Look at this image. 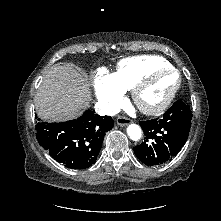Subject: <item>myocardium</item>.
<instances>
[{"mask_svg":"<svg viewBox=\"0 0 221 221\" xmlns=\"http://www.w3.org/2000/svg\"><path fill=\"white\" fill-rule=\"evenodd\" d=\"M166 74H174L176 76V83L169 92V94L156 105H146L141 101V95L150 85H152L158 78ZM181 87V75L173 67H165L156 69L145 77H143L136 86L132 89V99L137 108L147 115H156L166 110L172 101L175 99Z\"/></svg>","mask_w":221,"mask_h":221,"instance_id":"obj_1","label":"myocardium"}]
</instances>
